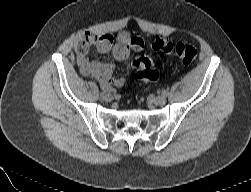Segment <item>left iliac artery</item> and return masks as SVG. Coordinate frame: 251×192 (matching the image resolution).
<instances>
[{"mask_svg":"<svg viewBox=\"0 0 251 192\" xmlns=\"http://www.w3.org/2000/svg\"><path fill=\"white\" fill-rule=\"evenodd\" d=\"M162 94L166 96L168 94V90H165V89L162 90Z\"/></svg>","mask_w":251,"mask_h":192,"instance_id":"obj_1","label":"left iliac artery"}]
</instances>
